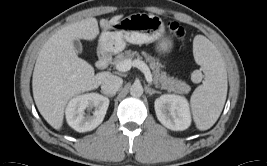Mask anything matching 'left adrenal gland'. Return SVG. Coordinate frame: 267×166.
Returning <instances> with one entry per match:
<instances>
[{
	"label": "left adrenal gland",
	"instance_id": "1",
	"mask_svg": "<svg viewBox=\"0 0 267 166\" xmlns=\"http://www.w3.org/2000/svg\"><path fill=\"white\" fill-rule=\"evenodd\" d=\"M146 92L149 94V95H152V94H159L160 92L155 90V89H151L149 87H146Z\"/></svg>",
	"mask_w": 267,
	"mask_h": 166
}]
</instances>
